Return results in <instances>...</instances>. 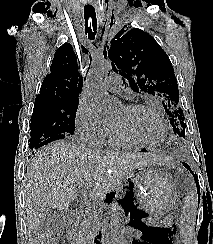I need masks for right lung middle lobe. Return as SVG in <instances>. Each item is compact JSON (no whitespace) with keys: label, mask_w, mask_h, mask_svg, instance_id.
<instances>
[{"label":"right lung middle lobe","mask_w":213,"mask_h":244,"mask_svg":"<svg viewBox=\"0 0 213 244\" xmlns=\"http://www.w3.org/2000/svg\"><path fill=\"white\" fill-rule=\"evenodd\" d=\"M79 100L39 99L35 101L31 118L30 148L57 135L74 134Z\"/></svg>","instance_id":"dd1d6c3e"}]
</instances>
